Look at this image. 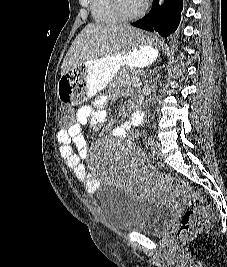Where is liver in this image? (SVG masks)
<instances>
[{"instance_id": "obj_1", "label": "liver", "mask_w": 227, "mask_h": 267, "mask_svg": "<svg viewBox=\"0 0 227 267\" xmlns=\"http://www.w3.org/2000/svg\"><path fill=\"white\" fill-rule=\"evenodd\" d=\"M133 33L141 31L129 25L88 24L68 50L62 63L61 75L82 63L118 54L135 39Z\"/></svg>"}]
</instances>
